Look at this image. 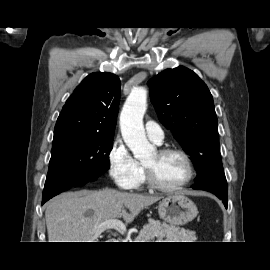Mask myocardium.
<instances>
[{
	"label": "myocardium",
	"instance_id": "1",
	"mask_svg": "<svg viewBox=\"0 0 270 270\" xmlns=\"http://www.w3.org/2000/svg\"><path fill=\"white\" fill-rule=\"evenodd\" d=\"M156 152L159 155H166V154L180 155L186 165L187 175L183 181H181L180 183L174 186H164L155 180L150 168L144 164L143 165L144 176L149 187L160 192L171 193V192H176L183 189L192 181L194 177V166H193V163L189 154L185 150L178 147H161V148H158Z\"/></svg>",
	"mask_w": 270,
	"mask_h": 270
}]
</instances>
